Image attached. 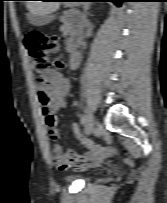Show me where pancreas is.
<instances>
[{"label": "pancreas", "instance_id": "pancreas-1", "mask_svg": "<svg viewBox=\"0 0 167 203\" xmlns=\"http://www.w3.org/2000/svg\"><path fill=\"white\" fill-rule=\"evenodd\" d=\"M63 32H64V36L67 34V32L70 31V27L68 26V24H64L63 28H62Z\"/></svg>", "mask_w": 167, "mask_h": 203}]
</instances>
